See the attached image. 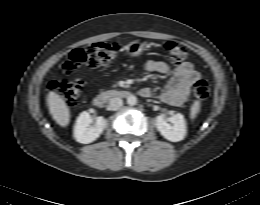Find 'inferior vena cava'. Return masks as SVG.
<instances>
[{"mask_svg":"<svg viewBox=\"0 0 260 205\" xmlns=\"http://www.w3.org/2000/svg\"><path fill=\"white\" fill-rule=\"evenodd\" d=\"M123 105V101L122 99L115 97V98H111L109 101V108L110 110H118L120 109V107Z\"/></svg>","mask_w":260,"mask_h":205,"instance_id":"1","label":"inferior vena cava"}]
</instances>
